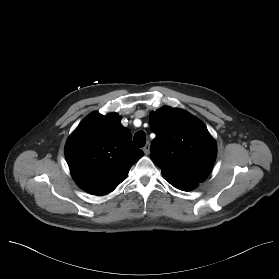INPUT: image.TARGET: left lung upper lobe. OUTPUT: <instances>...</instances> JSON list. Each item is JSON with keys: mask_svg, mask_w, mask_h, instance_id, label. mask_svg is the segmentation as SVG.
<instances>
[{"mask_svg": "<svg viewBox=\"0 0 279 279\" xmlns=\"http://www.w3.org/2000/svg\"><path fill=\"white\" fill-rule=\"evenodd\" d=\"M156 134L151 159L163 175L203 182L216 159V143L205 125L190 113L164 106L150 114Z\"/></svg>", "mask_w": 279, "mask_h": 279, "instance_id": "obj_1", "label": "left lung upper lobe"}]
</instances>
